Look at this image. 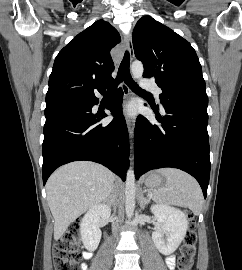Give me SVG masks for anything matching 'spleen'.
<instances>
[{
    "mask_svg": "<svg viewBox=\"0 0 242 270\" xmlns=\"http://www.w3.org/2000/svg\"><path fill=\"white\" fill-rule=\"evenodd\" d=\"M159 173L165 176L166 185L153 193L155 201L187 207L198 215L203 207V194L197 181L189 174L174 168L161 169Z\"/></svg>",
    "mask_w": 242,
    "mask_h": 270,
    "instance_id": "3e777b00",
    "label": "spleen"
}]
</instances>
